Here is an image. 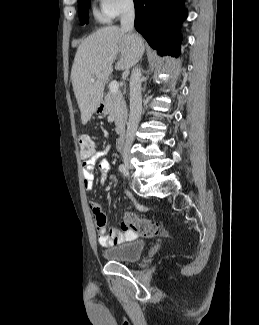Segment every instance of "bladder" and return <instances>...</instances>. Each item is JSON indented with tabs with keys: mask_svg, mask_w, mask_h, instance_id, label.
Masks as SVG:
<instances>
[{
	"mask_svg": "<svg viewBox=\"0 0 259 325\" xmlns=\"http://www.w3.org/2000/svg\"><path fill=\"white\" fill-rule=\"evenodd\" d=\"M146 244L143 240H134L131 242L114 245L103 250V257L111 262H136L138 261Z\"/></svg>",
	"mask_w": 259,
	"mask_h": 325,
	"instance_id": "31cf9c89",
	"label": "bladder"
}]
</instances>
